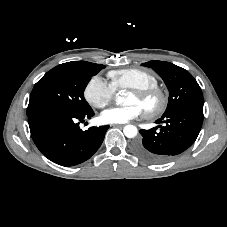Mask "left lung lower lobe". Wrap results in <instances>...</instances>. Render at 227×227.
Here are the masks:
<instances>
[{"label": "left lung lower lobe", "mask_w": 227, "mask_h": 227, "mask_svg": "<svg viewBox=\"0 0 227 227\" xmlns=\"http://www.w3.org/2000/svg\"><path fill=\"white\" fill-rule=\"evenodd\" d=\"M156 123L165 125H158L159 130L157 127L141 129L142 137L135 142L134 150L149 162L164 163L184 152L195 142L203 123V110H177L162 115Z\"/></svg>", "instance_id": "1"}]
</instances>
